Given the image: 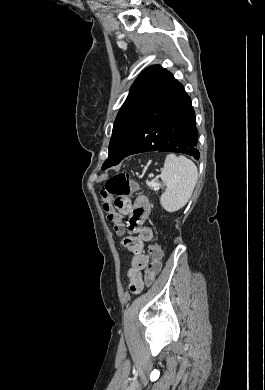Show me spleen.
Returning <instances> with one entry per match:
<instances>
[{
  "instance_id": "spleen-1",
  "label": "spleen",
  "mask_w": 265,
  "mask_h": 390,
  "mask_svg": "<svg viewBox=\"0 0 265 390\" xmlns=\"http://www.w3.org/2000/svg\"><path fill=\"white\" fill-rule=\"evenodd\" d=\"M160 178L166 186L160 203L166 211L175 212L188 202L198 179V170L188 158L169 154Z\"/></svg>"
}]
</instances>
